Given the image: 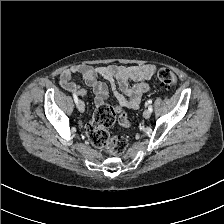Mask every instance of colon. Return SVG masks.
Wrapping results in <instances>:
<instances>
[{
	"label": "colon",
	"instance_id": "obj_1",
	"mask_svg": "<svg viewBox=\"0 0 224 224\" xmlns=\"http://www.w3.org/2000/svg\"><path fill=\"white\" fill-rule=\"evenodd\" d=\"M159 84L170 89L176 86V75L167 68H162L157 72ZM117 122L121 127L131 126V120L126 113H118V109L108 104H102L95 110L92 120L86 126V135L92 145L102 147L111 154H121L128 145V140L124 136H111L108 128Z\"/></svg>",
	"mask_w": 224,
	"mask_h": 224
}]
</instances>
